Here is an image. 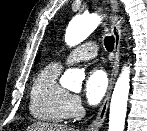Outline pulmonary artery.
Here are the masks:
<instances>
[{
  "label": "pulmonary artery",
  "instance_id": "1",
  "mask_svg": "<svg viewBox=\"0 0 147 131\" xmlns=\"http://www.w3.org/2000/svg\"><path fill=\"white\" fill-rule=\"evenodd\" d=\"M98 54V46L95 42L84 43L75 48L66 58V63L71 64L83 60L93 59Z\"/></svg>",
  "mask_w": 147,
  "mask_h": 131
}]
</instances>
